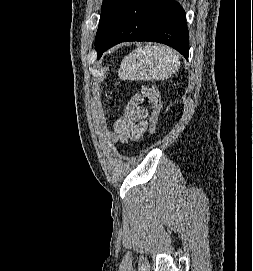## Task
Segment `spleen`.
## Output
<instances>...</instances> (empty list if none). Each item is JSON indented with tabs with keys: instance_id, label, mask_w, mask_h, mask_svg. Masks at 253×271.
I'll return each instance as SVG.
<instances>
[{
	"instance_id": "1",
	"label": "spleen",
	"mask_w": 253,
	"mask_h": 271,
	"mask_svg": "<svg viewBox=\"0 0 253 271\" xmlns=\"http://www.w3.org/2000/svg\"><path fill=\"white\" fill-rule=\"evenodd\" d=\"M179 55L162 45H146L135 49L121 62V80L163 81L178 71Z\"/></svg>"
}]
</instances>
